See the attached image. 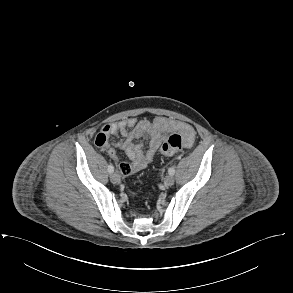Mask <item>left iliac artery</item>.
I'll return each mask as SVG.
<instances>
[{
	"instance_id": "left-iliac-artery-1",
	"label": "left iliac artery",
	"mask_w": 293,
	"mask_h": 293,
	"mask_svg": "<svg viewBox=\"0 0 293 293\" xmlns=\"http://www.w3.org/2000/svg\"><path fill=\"white\" fill-rule=\"evenodd\" d=\"M168 173H169L170 175H174V174H175V169H174V168H169V169H168Z\"/></svg>"
}]
</instances>
